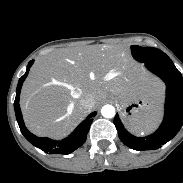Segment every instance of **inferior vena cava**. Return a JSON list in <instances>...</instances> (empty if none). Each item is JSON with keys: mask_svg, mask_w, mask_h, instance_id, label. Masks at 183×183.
Instances as JSON below:
<instances>
[{"mask_svg": "<svg viewBox=\"0 0 183 183\" xmlns=\"http://www.w3.org/2000/svg\"><path fill=\"white\" fill-rule=\"evenodd\" d=\"M94 103V97L91 93H85L81 98H80V104L84 108H91Z\"/></svg>", "mask_w": 183, "mask_h": 183, "instance_id": "obj_1", "label": "inferior vena cava"}]
</instances>
